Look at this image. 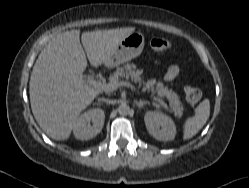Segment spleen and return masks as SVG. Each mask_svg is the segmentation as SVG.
Wrapping results in <instances>:
<instances>
[{
    "instance_id": "1",
    "label": "spleen",
    "mask_w": 249,
    "mask_h": 188,
    "mask_svg": "<svg viewBox=\"0 0 249 188\" xmlns=\"http://www.w3.org/2000/svg\"><path fill=\"white\" fill-rule=\"evenodd\" d=\"M210 115L209 100H203L195 110V116L185 122L183 139L187 140L195 136L205 125Z\"/></svg>"
}]
</instances>
